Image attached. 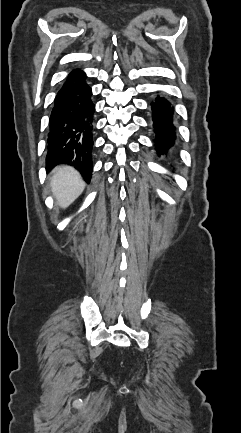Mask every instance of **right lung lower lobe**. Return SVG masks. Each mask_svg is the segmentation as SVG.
<instances>
[{
  "instance_id": "right-lung-lower-lobe-1",
  "label": "right lung lower lobe",
  "mask_w": 241,
  "mask_h": 433,
  "mask_svg": "<svg viewBox=\"0 0 241 433\" xmlns=\"http://www.w3.org/2000/svg\"><path fill=\"white\" fill-rule=\"evenodd\" d=\"M86 75L73 70L58 91L50 116L47 170L60 163L73 165L84 179L92 174L95 105Z\"/></svg>"
}]
</instances>
